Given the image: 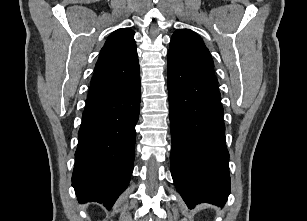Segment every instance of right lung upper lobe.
<instances>
[{
	"mask_svg": "<svg viewBox=\"0 0 307 221\" xmlns=\"http://www.w3.org/2000/svg\"><path fill=\"white\" fill-rule=\"evenodd\" d=\"M134 33L120 28L109 36L96 63L87 101L126 89L140 78Z\"/></svg>",
	"mask_w": 307,
	"mask_h": 221,
	"instance_id": "1",
	"label": "right lung upper lobe"
}]
</instances>
